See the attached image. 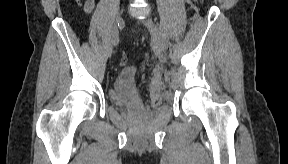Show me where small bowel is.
<instances>
[{
	"mask_svg": "<svg viewBox=\"0 0 288 164\" xmlns=\"http://www.w3.org/2000/svg\"><path fill=\"white\" fill-rule=\"evenodd\" d=\"M94 2L93 1H87L84 5V10L87 14H91L94 10Z\"/></svg>",
	"mask_w": 288,
	"mask_h": 164,
	"instance_id": "c3829d8e",
	"label": "small bowel"
}]
</instances>
